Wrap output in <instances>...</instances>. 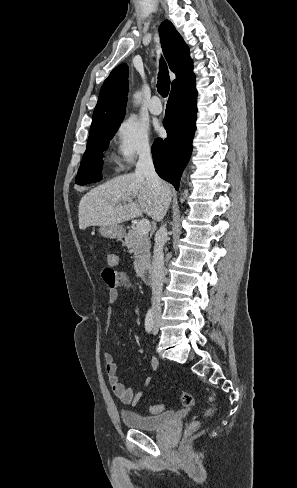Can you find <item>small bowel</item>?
I'll list each match as a JSON object with an SVG mask.
<instances>
[{
    "mask_svg": "<svg viewBox=\"0 0 297 488\" xmlns=\"http://www.w3.org/2000/svg\"><path fill=\"white\" fill-rule=\"evenodd\" d=\"M118 257L114 253H107L105 256L106 265L112 267L117 265ZM132 284L128 275L124 272H116L114 283L108 286L107 303L114 304L119 298V290L121 288H131ZM105 370L107 378L113 393L127 405L135 406L141 399L143 391L139 390L134 393L132 388L122 383L118 377V366L110 352H105L103 355ZM158 360L155 357L150 359V368L152 371L158 369ZM151 383V377L147 376L143 382V386L147 387Z\"/></svg>",
    "mask_w": 297,
    "mask_h": 488,
    "instance_id": "1",
    "label": "small bowel"
}]
</instances>
